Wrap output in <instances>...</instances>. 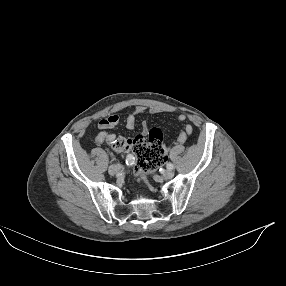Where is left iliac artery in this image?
<instances>
[{"label":"left iliac artery","instance_id":"44dca946","mask_svg":"<svg viewBox=\"0 0 286 286\" xmlns=\"http://www.w3.org/2000/svg\"><path fill=\"white\" fill-rule=\"evenodd\" d=\"M167 169L173 170L174 169V165L172 163H168L167 164Z\"/></svg>","mask_w":286,"mask_h":286}]
</instances>
